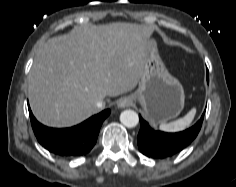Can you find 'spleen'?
I'll return each mask as SVG.
<instances>
[{
  "label": "spleen",
  "instance_id": "3e777b00",
  "mask_svg": "<svg viewBox=\"0 0 236 187\" xmlns=\"http://www.w3.org/2000/svg\"><path fill=\"white\" fill-rule=\"evenodd\" d=\"M196 114V108H192L183 118L170 123H162L159 129L164 132H179L190 126Z\"/></svg>",
  "mask_w": 236,
  "mask_h": 187
}]
</instances>
